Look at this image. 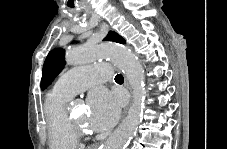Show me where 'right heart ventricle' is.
<instances>
[{
    "label": "right heart ventricle",
    "instance_id": "obj_1",
    "mask_svg": "<svg viewBox=\"0 0 227 149\" xmlns=\"http://www.w3.org/2000/svg\"><path fill=\"white\" fill-rule=\"evenodd\" d=\"M71 97L51 90L44 102V114L51 149H73L78 136L70 129L65 106Z\"/></svg>",
    "mask_w": 227,
    "mask_h": 149
}]
</instances>
